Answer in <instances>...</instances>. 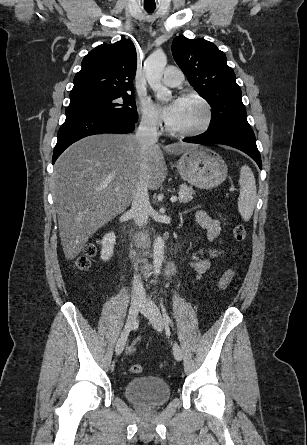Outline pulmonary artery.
<instances>
[{
  "mask_svg": "<svg viewBox=\"0 0 307 445\" xmlns=\"http://www.w3.org/2000/svg\"><path fill=\"white\" fill-rule=\"evenodd\" d=\"M182 76V69H173V67H168L164 71V83L167 85L179 84L182 80Z\"/></svg>",
  "mask_w": 307,
  "mask_h": 445,
  "instance_id": "1",
  "label": "pulmonary artery"
}]
</instances>
